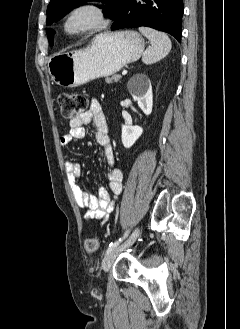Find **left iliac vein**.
I'll return each mask as SVG.
<instances>
[{
    "label": "left iliac vein",
    "mask_w": 240,
    "mask_h": 329,
    "mask_svg": "<svg viewBox=\"0 0 240 329\" xmlns=\"http://www.w3.org/2000/svg\"><path fill=\"white\" fill-rule=\"evenodd\" d=\"M140 233V229L139 227H137L132 234L129 236V238L120 246H118L116 249H114L113 251H111L110 253H108L104 259L103 262V269L105 272L109 271L111 266L113 265L116 257L123 252L124 250H126L127 248H129L138 238Z\"/></svg>",
    "instance_id": "left-iliac-vein-1"
}]
</instances>
